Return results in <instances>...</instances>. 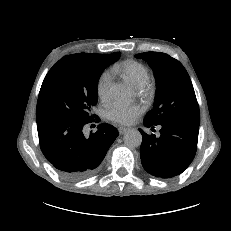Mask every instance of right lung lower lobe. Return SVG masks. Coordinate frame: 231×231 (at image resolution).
<instances>
[{"label":"right lung lower lobe","instance_id":"obj_1","mask_svg":"<svg viewBox=\"0 0 231 231\" xmlns=\"http://www.w3.org/2000/svg\"><path fill=\"white\" fill-rule=\"evenodd\" d=\"M93 121L53 119L37 122L42 153L67 179L81 180L95 174L119 134L115 127L100 124L96 133L85 136V125Z\"/></svg>","mask_w":231,"mask_h":231}]
</instances>
